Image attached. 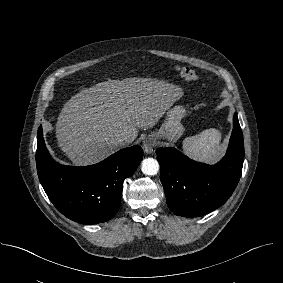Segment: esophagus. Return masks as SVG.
<instances>
[{
  "label": "esophagus",
  "mask_w": 283,
  "mask_h": 283,
  "mask_svg": "<svg viewBox=\"0 0 283 283\" xmlns=\"http://www.w3.org/2000/svg\"><path fill=\"white\" fill-rule=\"evenodd\" d=\"M142 145H143V149L146 153H152L154 145H155V141L152 138H146V139H144Z\"/></svg>",
  "instance_id": "34e87169"
}]
</instances>
